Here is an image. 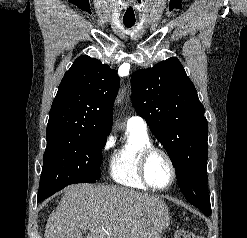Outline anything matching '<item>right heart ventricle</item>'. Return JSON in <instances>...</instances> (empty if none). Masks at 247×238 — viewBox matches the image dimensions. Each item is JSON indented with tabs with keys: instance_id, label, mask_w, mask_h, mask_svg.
Returning <instances> with one entry per match:
<instances>
[{
	"instance_id": "1",
	"label": "right heart ventricle",
	"mask_w": 247,
	"mask_h": 238,
	"mask_svg": "<svg viewBox=\"0 0 247 238\" xmlns=\"http://www.w3.org/2000/svg\"><path fill=\"white\" fill-rule=\"evenodd\" d=\"M151 146L147 131L126 127L123 142L114 150L109 160L111 178L119 185L146 190L148 187L139 174V159L143 150Z\"/></svg>"
}]
</instances>
